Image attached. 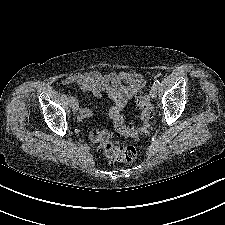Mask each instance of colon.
<instances>
[{"mask_svg":"<svg viewBox=\"0 0 225 225\" xmlns=\"http://www.w3.org/2000/svg\"><path fill=\"white\" fill-rule=\"evenodd\" d=\"M140 110V125L138 127L128 126L125 123L121 109L111 111L114 127L118 134L126 138H140L147 135L151 130L152 107L145 94L138 99ZM95 143L102 149L106 159L112 163L131 162L137 157V150L132 145H116L107 130H99L94 134Z\"/></svg>","mask_w":225,"mask_h":225,"instance_id":"obj_1","label":"colon"}]
</instances>
